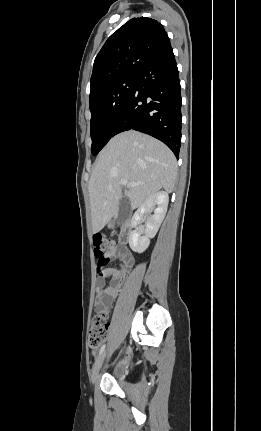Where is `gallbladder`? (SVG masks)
<instances>
[{"label":"gallbladder","mask_w":261,"mask_h":431,"mask_svg":"<svg viewBox=\"0 0 261 431\" xmlns=\"http://www.w3.org/2000/svg\"><path fill=\"white\" fill-rule=\"evenodd\" d=\"M131 208L126 198H122L118 208L117 224L122 225L130 216Z\"/></svg>","instance_id":"bac80fb5"}]
</instances>
